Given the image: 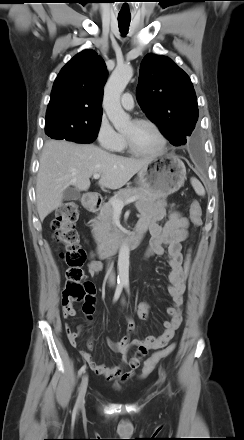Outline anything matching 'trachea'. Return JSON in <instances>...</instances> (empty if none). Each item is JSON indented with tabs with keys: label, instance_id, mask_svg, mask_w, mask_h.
Instances as JSON below:
<instances>
[{
	"label": "trachea",
	"instance_id": "trachea-1",
	"mask_svg": "<svg viewBox=\"0 0 244 440\" xmlns=\"http://www.w3.org/2000/svg\"><path fill=\"white\" fill-rule=\"evenodd\" d=\"M131 18H118L120 32L123 36L128 33Z\"/></svg>",
	"mask_w": 244,
	"mask_h": 440
}]
</instances>
